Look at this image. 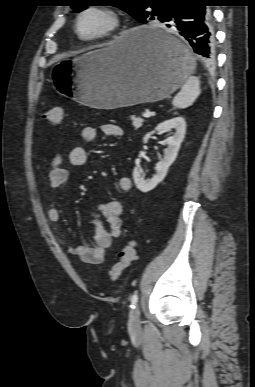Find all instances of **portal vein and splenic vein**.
<instances>
[{
	"label": "portal vein and splenic vein",
	"instance_id": "obj_1",
	"mask_svg": "<svg viewBox=\"0 0 255 387\" xmlns=\"http://www.w3.org/2000/svg\"><path fill=\"white\" fill-rule=\"evenodd\" d=\"M153 115V113L152 112H150V111H146L145 113H144V117L145 118H149V117H151Z\"/></svg>",
	"mask_w": 255,
	"mask_h": 387
}]
</instances>
